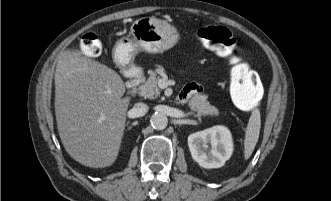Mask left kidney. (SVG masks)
Instances as JSON below:
<instances>
[{
  "instance_id": "1",
  "label": "left kidney",
  "mask_w": 331,
  "mask_h": 201,
  "mask_svg": "<svg viewBox=\"0 0 331 201\" xmlns=\"http://www.w3.org/2000/svg\"><path fill=\"white\" fill-rule=\"evenodd\" d=\"M188 146L193 160L207 169L222 167L233 152L231 132L221 125L190 134Z\"/></svg>"
}]
</instances>
